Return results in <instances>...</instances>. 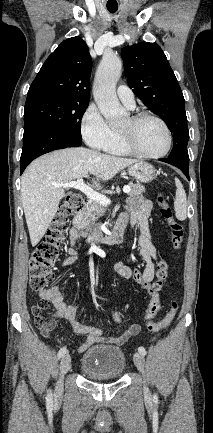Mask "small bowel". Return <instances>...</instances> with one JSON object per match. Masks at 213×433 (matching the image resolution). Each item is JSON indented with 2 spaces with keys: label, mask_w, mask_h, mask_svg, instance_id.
<instances>
[{
  "label": "small bowel",
  "mask_w": 213,
  "mask_h": 433,
  "mask_svg": "<svg viewBox=\"0 0 213 433\" xmlns=\"http://www.w3.org/2000/svg\"><path fill=\"white\" fill-rule=\"evenodd\" d=\"M152 204L150 201L143 198H134L128 201L127 211L124 212L118 221L117 226H134L139 227L140 233L138 237L139 252L145 261V267L141 271L139 269H131L122 263L115 265L116 271L125 278L134 279L142 288H144L152 297L151 303L146 313V319L152 320L160 308L159 290L156 288V260L157 250L152 242L151 233L148 225V218L151 212ZM81 238L79 230L73 227L69 232V246L67 248L68 257L63 260L64 265H72L78 259V251L74 248L77 241ZM40 295L48 300L55 309V316L64 319L70 323L75 333L85 335V342L79 346L78 351L84 352L95 343L107 342L113 344H121L127 338L122 336H114L108 329H100L95 326L80 323L76 321L75 307L67 304L64 301L61 290L53 286L40 292ZM114 318V314L113 317ZM122 319V317H121ZM56 327L55 320L47 321L46 326L40 327L44 337H50ZM127 331L132 332V336L140 331V326L137 324L131 325Z\"/></svg>",
  "instance_id": "c3829d8e"
}]
</instances>
